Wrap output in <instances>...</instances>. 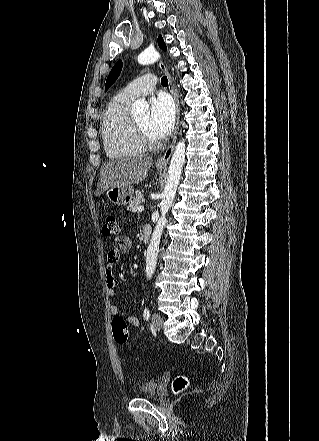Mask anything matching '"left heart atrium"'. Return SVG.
I'll use <instances>...</instances> for the list:
<instances>
[{
    "label": "left heart atrium",
    "instance_id": "1",
    "mask_svg": "<svg viewBox=\"0 0 319 441\" xmlns=\"http://www.w3.org/2000/svg\"><path fill=\"white\" fill-rule=\"evenodd\" d=\"M150 107V133L155 139L165 138L173 129L174 106L167 96L160 95L150 101Z\"/></svg>",
    "mask_w": 319,
    "mask_h": 441
}]
</instances>
